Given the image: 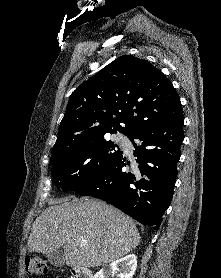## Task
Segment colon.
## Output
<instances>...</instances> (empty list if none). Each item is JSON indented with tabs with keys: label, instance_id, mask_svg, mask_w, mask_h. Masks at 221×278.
Masks as SVG:
<instances>
[{
	"label": "colon",
	"instance_id": "colon-1",
	"mask_svg": "<svg viewBox=\"0 0 221 278\" xmlns=\"http://www.w3.org/2000/svg\"><path fill=\"white\" fill-rule=\"evenodd\" d=\"M26 273L30 276L41 277L49 272L48 265L41 259L35 257H27L25 260ZM56 278H66L65 276H57Z\"/></svg>",
	"mask_w": 221,
	"mask_h": 278
}]
</instances>
